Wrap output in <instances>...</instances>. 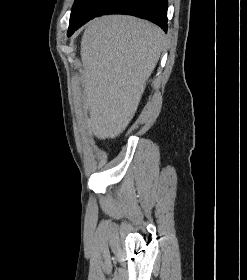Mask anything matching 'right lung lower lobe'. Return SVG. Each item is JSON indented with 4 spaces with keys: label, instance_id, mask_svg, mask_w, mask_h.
Returning <instances> with one entry per match:
<instances>
[{
    "label": "right lung lower lobe",
    "instance_id": "right-lung-lower-lobe-1",
    "mask_svg": "<svg viewBox=\"0 0 247 280\" xmlns=\"http://www.w3.org/2000/svg\"><path fill=\"white\" fill-rule=\"evenodd\" d=\"M167 9V0H108L94 17L106 14L133 15L152 21L167 31ZM83 24L69 28L68 36Z\"/></svg>",
    "mask_w": 247,
    "mask_h": 280
}]
</instances>
